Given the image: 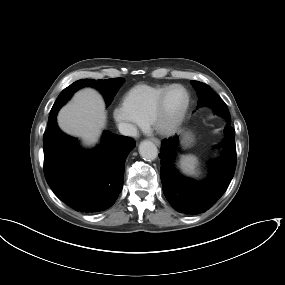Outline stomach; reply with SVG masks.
<instances>
[{
  "label": "stomach",
  "mask_w": 285,
  "mask_h": 285,
  "mask_svg": "<svg viewBox=\"0 0 285 285\" xmlns=\"http://www.w3.org/2000/svg\"><path fill=\"white\" fill-rule=\"evenodd\" d=\"M194 142V135L191 131H182L181 132V144L184 147H190Z\"/></svg>",
  "instance_id": "obj_1"
}]
</instances>
